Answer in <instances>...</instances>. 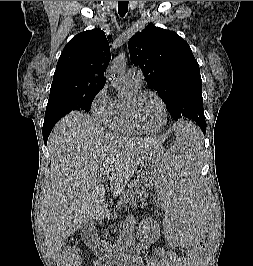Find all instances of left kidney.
Returning <instances> with one entry per match:
<instances>
[{
  "label": "left kidney",
  "mask_w": 253,
  "mask_h": 266,
  "mask_svg": "<svg viewBox=\"0 0 253 266\" xmlns=\"http://www.w3.org/2000/svg\"><path fill=\"white\" fill-rule=\"evenodd\" d=\"M142 241L150 244L154 243L159 239L160 236V226L152 219L143 221L140 229Z\"/></svg>",
  "instance_id": "5707ae66"
}]
</instances>
